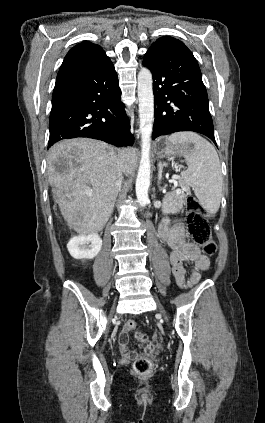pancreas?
Returning <instances> with one entry per match:
<instances>
[{
	"mask_svg": "<svg viewBox=\"0 0 265 423\" xmlns=\"http://www.w3.org/2000/svg\"><path fill=\"white\" fill-rule=\"evenodd\" d=\"M179 186L182 188L181 193L176 191L169 192L165 195L163 199L162 211L165 214H176L182 210L185 204L186 193L189 192V189L183 182H179Z\"/></svg>",
	"mask_w": 265,
	"mask_h": 423,
	"instance_id": "cf45deb5",
	"label": "pancreas"
}]
</instances>
